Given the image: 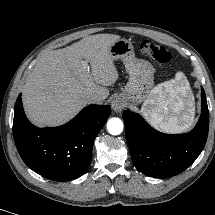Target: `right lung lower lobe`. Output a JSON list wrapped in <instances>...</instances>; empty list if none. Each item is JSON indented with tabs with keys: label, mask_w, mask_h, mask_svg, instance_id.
<instances>
[{
	"label": "right lung lower lobe",
	"mask_w": 215,
	"mask_h": 215,
	"mask_svg": "<svg viewBox=\"0 0 215 215\" xmlns=\"http://www.w3.org/2000/svg\"><path fill=\"white\" fill-rule=\"evenodd\" d=\"M109 115V106L89 105L62 126L38 128L26 118L20 94L13 121L17 150L25 164L45 178L76 179L88 170L94 139Z\"/></svg>",
	"instance_id": "obj_1"
}]
</instances>
